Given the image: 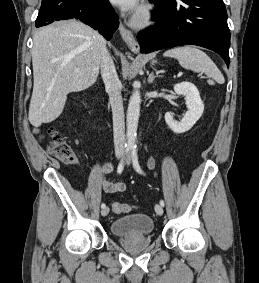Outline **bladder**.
I'll use <instances>...</instances> for the list:
<instances>
[{"instance_id": "31cf9c89", "label": "bladder", "mask_w": 259, "mask_h": 283, "mask_svg": "<svg viewBox=\"0 0 259 283\" xmlns=\"http://www.w3.org/2000/svg\"><path fill=\"white\" fill-rule=\"evenodd\" d=\"M154 228L152 219L145 214H133L115 220L111 232L118 237H141L149 235Z\"/></svg>"}]
</instances>
